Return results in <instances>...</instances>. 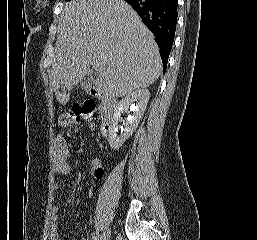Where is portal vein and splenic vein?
<instances>
[{"instance_id": "18ae733b", "label": "portal vein and splenic vein", "mask_w": 257, "mask_h": 240, "mask_svg": "<svg viewBox=\"0 0 257 240\" xmlns=\"http://www.w3.org/2000/svg\"><path fill=\"white\" fill-rule=\"evenodd\" d=\"M93 68L95 69L96 72H99L100 71V65L99 63H93Z\"/></svg>"}]
</instances>
